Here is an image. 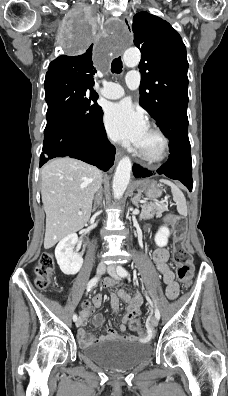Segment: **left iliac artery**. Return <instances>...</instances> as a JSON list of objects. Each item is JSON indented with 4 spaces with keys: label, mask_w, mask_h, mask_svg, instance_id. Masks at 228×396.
<instances>
[{
    "label": "left iliac artery",
    "mask_w": 228,
    "mask_h": 396,
    "mask_svg": "<svg viewBox=\"0 0 228 396\" xmlns=\"http://www.w3.org/2000/svg\"><path fill=\"white\" fill-rule=\"evenodd\" d=\"M117 273L121 277H127L128 276V271L125 268H123L122 266H118L117 267ZM155 316H156V318L158 320L160 319V312H159V309L157 308V306H156V309H155Z\"/></svg>",
    "instance_id": "obj_1"
}]
</instances>
